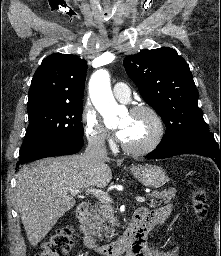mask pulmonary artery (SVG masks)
Instances as JSON below:
<instances>
[{"label":"pulmonary artery","mask_w":221,"mask_h":256,"mask_svg":"<svg viewBox=\"0 0 221 256\" xmlns=\"http://www.w3.org/2000/svg\"><path fill=\"white\" fill-rule=\"evenodd\" d=\"M113 94L119 101L128 102L130 100V88L123 82L114 85Z\"/></svg>","instance_id":"pulmonary-artery-1"}]
</instances>
